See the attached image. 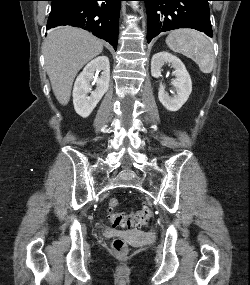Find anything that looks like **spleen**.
<instances>
[{"label":"spleen","instance_id":"3e777b00","mask_svg":"<svg viewBox=\"0 0 250 285\" xmlns=\"http://www.w3.org/2000/svg\"><path fill=\"white\" fill-rule=\"evenodd\" d=\"M166 44L172 51L192 59L203 73L212 72L215 64L213 45L204 33L192 29L174 30L167 36Z\"/></svg>","mask_w":250,"mask_h":285}]
</instances>
